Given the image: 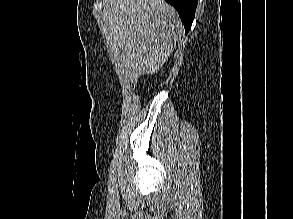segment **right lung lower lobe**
I'll return each instance as SVG.
<instances>
[{"label":"right lung lower lobe","mask_w":293,"mask_h":219,"mask_svg":"<svg viewBox=\"0 0 293 219\" xmlns=\"http://www.w3.org/2000/svg\"><path fill=\"white\" fill-rule=\"evenodd\" d=\"M170 3L178 11L182 20L186 34L191 29L192 22L195 17V11L198 0H165Z\"/></svg>","instance_id":"obj_1"}]
</instances>
